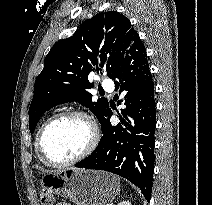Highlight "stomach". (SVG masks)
<instances>
[{
    "label": "stomach",
    "mask_w": 212,
    "mask_h": 205,
    "mask_svg": "<svg viewBox=\"0 0 212 205\" xmlns=\"http://www.w3.org/2000/svg\"><path fill=\"white\" fill-rule=\"evenodd\" d=\"M41 185L44 190L76 205H106L120 192L116 176L99 170L67 168L45 174Z\"/></svg>",
    "instance_id": "stomach-1"
}]
</instances>
